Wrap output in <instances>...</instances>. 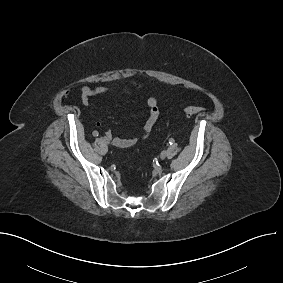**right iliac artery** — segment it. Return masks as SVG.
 I'll return each mask as SVG.
<instances>
[{
	"label": "right iliac artery",
	"instance_id": "82829eb1",
	"mask_svg": "<svg viewBox=\"0 0 283 283\" xmlns=\"http://www.w3.org/2000/svg\"><path fill=\"white\" fill-rule=\"evenodd\" d=\"M93 136H94V137H97V136H98V132H97V131H94V132H93ZM104 138H105V137H104Z\"/></svg>",
	"mask_w": 283,
	"mask_h": 283
}]
</instances>
